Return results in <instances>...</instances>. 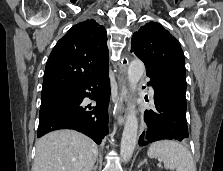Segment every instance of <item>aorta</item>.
Segmentation results:
<instances>
[{
	"instance_id": "aorta-1",
	"label": "aorta",
	"mask_w": 223,
	"mask_h": 171,
	"mask_svg": "<svg viewBox=\"0 0 223 171\" xmlns=\"http://www.w3.org/2000/svg\"><path fill=\"white\" fill-rule=\"evenodd\" d=\"M145 72L144 63L139 59H134L130 62L128 67V82L131 92L134 93L138 82ZM138 131V120L136 116L135 105H129L128 115L122 133L120 156L123 162H128L134 152Z\"/></svg>"
}]
</instances>
